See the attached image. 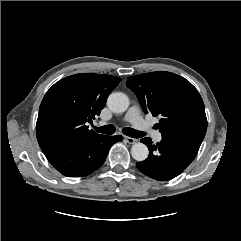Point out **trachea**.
<instances>
[{"label": "trachea", "mask_w": 241, "mask_h": 241, "mask_svg": "<svg viewBox=\"0 0 241 241\" xmlns=\"http://www.w3.org/2000/svg\"><path fill=\"white\" fill-rule=\"evenodd\" d=\"M95 131L102 133V134H107V135H111L116 131L115 126L113 125H105V126H101V127H95L94 126ZM123 133L129 137L132 138H141L145 135L144 132L126 127L123 129Z\"/></svg>", "instance_id": "trachea-1"}]
</instances>
